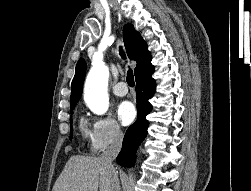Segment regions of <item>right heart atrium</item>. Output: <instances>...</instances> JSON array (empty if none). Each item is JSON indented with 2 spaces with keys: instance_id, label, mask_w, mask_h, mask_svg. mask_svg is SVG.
Returning <instances> with one entry per match:
<instances>
[{
  "instance_id": "1",
  "label": "right heart atrium",
  "mask_w": 251,
  "mask_h": 191,
  "mask_svg": "<svg viewBox=\"0 0 251 191\" xmlns=\"http://www.w3.org/2000/svg\"><path fill=\"white\" fill-rule=\"evenodd\" d=\"M90 139L96 151H103L111 145L120 144L123 132L111 117H98L93 122Z\"/></svg>"
}]
</instances>
